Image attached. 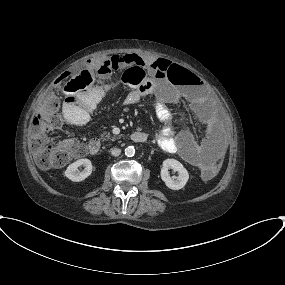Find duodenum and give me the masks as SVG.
Here are the masks:
<instances>
[{
    "label": "duodenum",
    "instance_id": "1",
    "mask_svg": "<svg viewBox=\"0 0 285 285\" xmlns=\"http://www.w3.org/2000/svg\"><path fill=\"white\" fill-rule=\"evenodd\" d=\"M80 106L82 107V105ZM131 140L137 143H143L147 140V135L142 131H136L131 134ZM87 149L90 155L97 156L101 151V142L98 139H91Z\"/></svg>",
    "mask_w": 285,
    "mask_h": 285
}]
</instances>
